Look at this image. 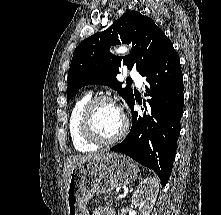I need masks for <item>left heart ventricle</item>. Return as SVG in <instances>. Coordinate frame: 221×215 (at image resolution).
<instances>
[{"instance_id":"1","label":"left heart ventricle","mask_w":221,"mask_h":215,"mask_svg":"<svg viewBox=\"0 0 221 215\" xmlns=\"http://www.w3.org/2000/svg\"><path fill=\"white\" fill-rule=\"evenodd\" d=\"M123 118L112 103L99 104L94 112L95 130L103 137L115 136L121 129Z\"/></svg>"}]
</instances>
